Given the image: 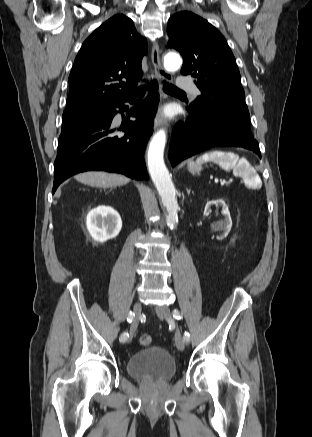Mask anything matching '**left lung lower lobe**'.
Masks as SVG:
<instances>
[{
    "label": "left lung lower lobe",
    "instance_id": "1",
    "mask_svg": "<svg viewBox=\"0 0 312 437\" xmlns=\"http://www.w3.org/2000/svg\"><path fill=\"white\" fill-rule=\"evenodd\" d=\"M190 117L185 124L174 128L169 159L172 166L206 149L216 146L242 147L255 152L261 158L259 144L254 137L247 136L226 117L204 110L188 108Z\"/></svg>",
    "mask_w": 312,
    "mask_h": 437
}]
</instances>
